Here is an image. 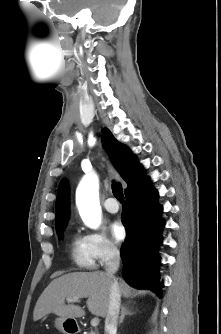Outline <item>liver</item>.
<instances>
[{
  "instance_id": "liver-1",
  "label": "liver",
  "mask_w": 221,
  "mask_h": 334,
  "mask_svg": "<svg viewBox=\"0 0 221 334\" xmlns=\"http://www.w3.org/2000/svg\"><path fill=\"white\" fill-rule=\"evenodd\" d=\"M117 280V279H116ZM112 279L101 271L73 272L54 279L37 300L33 320L38 321L49 313L71 319L85 315V311L74 304H65L67 298H87L88 310L96 316L105 318L108 312ZM123 297L128 298L132 288L119 280Z\"/></svg>"
}]
</instances>
